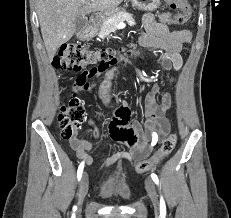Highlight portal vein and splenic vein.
I'll return each mask as SVG.
<instances>
[{
  "label": "portal vein and splenic vein",
  "instance_id": "18ae733b",
  "mask_svg": "<svg viewBox=\"0 0 231 218\" xmlns=\"http://www.w3.org/2000/svg\"><path fill=\"white\" fill-rule=\"evenodd\" d=\"M125 24L124 23H120L117 27L121 28V27H124Z\"/></svg>",
  "mask_w": 231,
  "mask_h": 218
}]
</instances>
